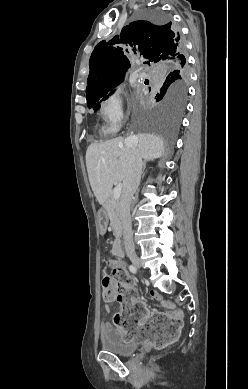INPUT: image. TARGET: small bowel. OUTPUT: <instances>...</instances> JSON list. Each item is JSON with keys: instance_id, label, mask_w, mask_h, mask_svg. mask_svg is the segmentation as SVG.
<instances>
[{"instance_id": "small-bowel-1", "label": "small bowel", "mask_w": 248, "mask_h": 389, "mask_svg": "<svg viewBox=\"0 0 248 389\" xmlns=\"http://www.w3.org/2000/svg\"><path fill=\"white\" fill-rule=\"evenodd\" d=\"M150 296L156 300H159L162 302L163 308L167 311L168 315H171L173 317H181L182 311L181 309H175V305L173 302L169 300H164L163 296L157 292H150ZM105 301V310L107 312H110V304L115 302L116 300H104ZM113 331L112 325L109 322H104L101 325V334L105 333H111ZM119 333L124 337V332L119 330Z\"/></svg>"}]
</instances>
